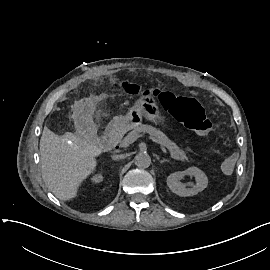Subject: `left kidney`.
Segmentation results:
<instances>
[{
  "mask_svg": "<svg viewBox=\"0 0 270 270\" xmlns=\"http://www.w3.org/2000/svg\"><path fill=\"white\" fill-rule=\"evenodd\" d=\"M185 176H192L196 178L194 187L187 188V185L181 182ZM207 184V176L196 167L189 168L185 171L172 173L167 178V185L169 186L170 190L175 194L183 197L197 194L199 191L205 189Z\"/></svg>",
  "mask_w": 270,
  "mask_h": 270,
  "instance_id": "obj_1",
  "label": "left kidney"
}]
</instances>
